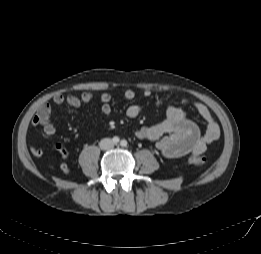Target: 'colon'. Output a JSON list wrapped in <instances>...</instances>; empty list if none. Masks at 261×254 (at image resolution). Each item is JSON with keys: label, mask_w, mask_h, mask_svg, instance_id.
<instances>
[{"label": "colon", "mask_w": 261, "mask_h": 254, "mask_svg": "<svg viewBox=\"0 0 261 254\" xmlns=\"http://www.w3.org/2000/svg\"><path fill=\"white\" fill-rule=\"evenodd\" d=\"M207 159L203 156H196V155H191L188 157V162L195 166V167H201L206 163Z\"/></svg>", "instance_id": "5ec220e1"}]
</instances>
